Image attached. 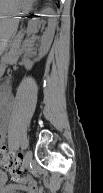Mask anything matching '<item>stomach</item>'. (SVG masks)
I'll return each mask as SVG.
<instances>
[{
    "instance_id": "1",
    "label": "stomach",
    "mask_w": 103,
    "mask_h": 193,
    "mask_svg": "<svg viewBox=\"0 0 103 193\" xmlns=\"http://www.w3.org/2000/svg\"><path fill=\"white\" fill-rule=\"evenodd\" d=\"M3 1V3H2ZM36 0H0L1 15L3 17L15 16L25 14L31 11L33 3ZM6 19L3 20L2 33L0 47L5 49L9 35L11 34L12 28L5 23Z\"/></svg>"
}]
</instances>
